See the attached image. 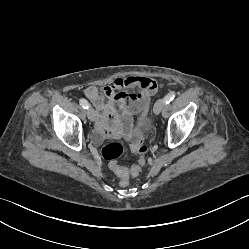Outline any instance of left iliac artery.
<instances>
[{"mask_svg": "<svg viewBox=\"0 0 249 249\" xmlns=\"http://www.w3.org/2000/svg\"><path fill=\"white\" fill-rule=\"evenodd\" d=\"M175 97V92H170L168 95L165 96L166 104H169Z\"/></svg>", "mask_w": 249, "mask_h": 249, "instance_id": "1", "label": "left iliac artery"}]
</instances>
